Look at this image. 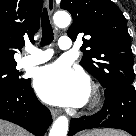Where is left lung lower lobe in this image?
I'll return each instance as SVG.
<instances>
[{
    "label": "left lung lower lobe",
    "instance_id": "left-lung-lower-lobe-1",
    "mask_svg": "<svg viewBox=\"0 0 136 136\" xmlns=\"http://www.w3.org/2000/svg\"><path fill=\"white\" fill-rule=\"evenodd\" d=\"M98 127L122 129L136 136V97L133 85L118 84L107 87L101 111L93 116L73 118L68 136Z\"/></svg>",
    "mask_w": 136,
    "mask_h": 136
}]
</instances>
